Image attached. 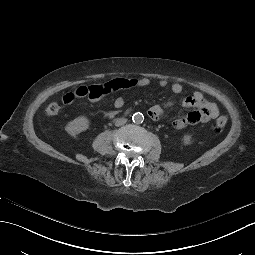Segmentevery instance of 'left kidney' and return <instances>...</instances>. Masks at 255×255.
<instances>
[{
  "mask_svg": "<svg viewBox=\"0 0 255 255\" xmlns=\"http://www.w3.org/2000/svg\"><path fill=\"white\" fill-rule=\"evenodd\" d=\"M192 142H193L192 137L188 134L184 135V137L182 138L183 145H191Z\"/></svg>",
  "mask_w": 255,
  "mask_h": 255,
  "instance_id": "1",
  "label": "left kidney"
}]
</instances>
